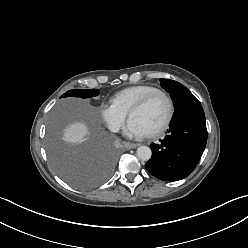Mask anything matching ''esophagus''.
Here are the masks:
<instances>
[{
  "label": "esophagus",
  "instance_id": "1",
  "mask_svg": "<svg viewBox=\"0 0 248 248\" xmlns=\"http://www.w3.org/2000/svg\"><path fill=\"white\" fill-rule=\"evenodd\" d=\"M124 146H125L126 149H134V148L138 147V144L125 142Z\"/></svg>",
  "mask_w": 248,
  "mask_h": 248
}]
</instances>
